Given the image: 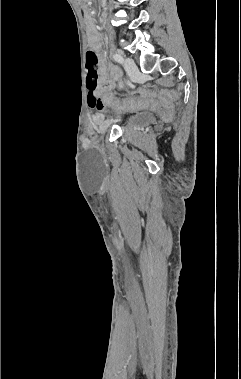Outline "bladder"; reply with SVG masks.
<instances>
[{
    "instance_id": "obj_1",
    "label": "bladder",
    "mask_w": 241,
    "mask_h": 379,
    "mask_svg": "<svg viewBox=\"0 0 241 379\" xmlns=\"http://www.w3.org/2000/svg\"><path fill=\"white\" fill-rule=\"evenodd\" d=\"M155 120V115L148 111L142 110L137 112L130 120L129 126L133 128H141L151 124Z\"/></svg>"
}]
</instances>
